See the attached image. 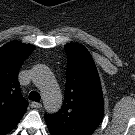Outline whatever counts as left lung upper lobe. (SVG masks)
Returning a JSON list of instances; mask_svg holds the SVG:
<instances>
[{
  "label": "left lung upper lobe",
  "mask_w": 135,
  "mask_h": 135,
  "mask_svg": "<svg viewBox=\"0 0 135 135\" xmlns=\"http://www.w3.org/2000/svg\"><path fill=\"white\" fill-rule=\"evenodd\" d=\"M67 76L65 98L59 112L45 115L52 135H91L103 118L99 75L88 50L80 44L65 45Z\"/></svg>",
  "instance_id": "obj_1"
}]
</instances>
